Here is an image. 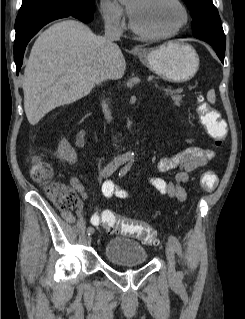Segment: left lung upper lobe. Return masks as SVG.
Instances as JSON below:
<instances>
[{"mask_svg": "<svg viewBox=\"0 0 245 319\" xmlns=\"http://www.w3.org/2000/svg\"><path fill=\"white\" fill-rule=\"evenodd\" d=\"M191 10L193 35L225 49V34L212 0H184Z\"/></svg>", "mask_w": 245, "mask_h": 319, "instance_id": "obj_1", "label": "left lung upper lobe"}]
</instances>
